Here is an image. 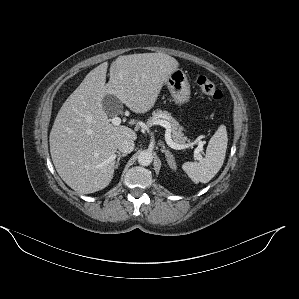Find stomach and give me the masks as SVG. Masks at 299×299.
<instances>
[{"mask_svg": "<svg viewBox=\"0 0 299 299\" xmlns=\"http://www.w3.org/2000/svg\"><path fill=\"white\" fill-rule=\"evenodd\" d=\"M167 85L175 103L179 106L187 104L190 101V84L185 72L177 68L167 78Z\"/></svg>", "mask_w": 299, "mask_h": 299, "instance_id": "stomach-1", "label": "stomach"}]
</instances>
